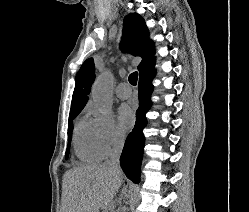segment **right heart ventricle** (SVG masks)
I'll list each match as a JSON object with an SVG mask.
<instances>
[{
	"label": "right heart ventricle",
	"mask_w": 249,
	"mask_h": 212,
	"mask_svg": "<svg viewBox=\"0 0 249 212\" xmlns=\"http://www.w3.org/2000/svg\"><path fill=\"white\" fill-rule=\"evenodd\" d=\"M72 144L75 155L79 160L86 162L99 160L98 151L94 142V126L92 121L83 118L76 122Z\"/></svg>",
	"instance_id": "e07e8e85"
}]
</instances>
